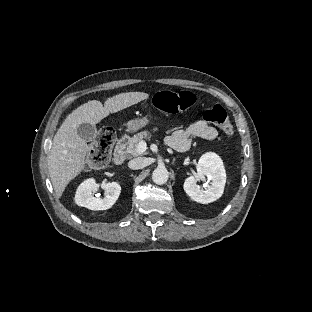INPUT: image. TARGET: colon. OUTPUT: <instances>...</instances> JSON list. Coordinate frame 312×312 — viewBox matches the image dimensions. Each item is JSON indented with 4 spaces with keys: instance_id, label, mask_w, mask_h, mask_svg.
<instances>
[{
    "instance_id": "obj_1",
    "label": "colon",
    "mask_w": 312,
    "mask_h": 312,
    "mask_svg": "<svg viewBox=\"0 0 312 312\" xmlns=\"http://www.w3.org/2000/svg\"><path fill=\"white\" fill-rule=\"evenodd\" d=\"M194 95L190 91H181L173 93L170 91H161L155 98L156 107L165 113L179 114L189 108L194 103ZM203 119L206 123L215 125L228 137H233L234 129L229 121L225 109L216 105L203 113ZM116 140V134L110 127H101L95 137V143L91 152L87 155L89 165L101 167L106 165L111 157V150Z\"/></svg>"
}]
</instances>
